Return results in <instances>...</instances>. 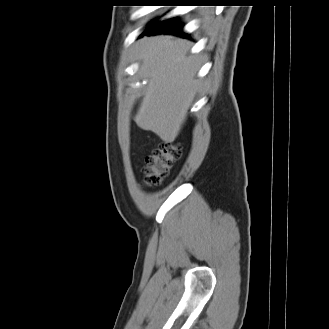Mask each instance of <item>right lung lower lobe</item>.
Returning <instances> with one entry per match:
<instances>
[{
  "label": "right lung lower lobe",
  "mask_w": 329,
  "mask_h": 329,
  "mask_svg": "<svg viewBox=\"0 0 329 329\" xmlns=\"http://www.w3.org/2000/svg\"><path fill=\"white\" fill-rule=\"evenodd\" d=\"M159 33H169L181 36H187V34L182 32V26L176 24L174 18L163 20L161 22H156L153 25L149 26L141 36L143 35H152Z\"/></svg>",
  "instance_id": "obj_1"
}]
</instances>
